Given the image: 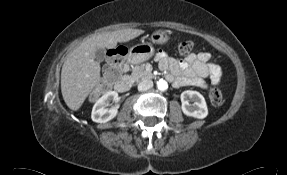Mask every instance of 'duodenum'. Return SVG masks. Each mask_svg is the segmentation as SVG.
<instances>
[{
  "mask_svg": "<svg viewBox=\"0 0 287 175\" xmlns=\"http://www.w3.org/2000/svg\"><path fill=\"white\" fill-rule=\"evenodd\" d=\"M127 68H128V65H125L124 69H127ZM111 77H112V72H107L105 74V79L108 82H111ZM166 79L168 81H170L168 79V75L166 76ZM116 81L117 82L115 83V87L120 92H127L130 89V87H131V79L128 78V77H124V78L116 80Z\"/></svg>",
  "mask_w": 287,
  "mask_h": 175,
  "instance_id": "duodenum-1",
  "label": "duodenum"
}]
</instances>
